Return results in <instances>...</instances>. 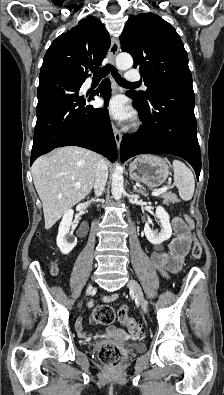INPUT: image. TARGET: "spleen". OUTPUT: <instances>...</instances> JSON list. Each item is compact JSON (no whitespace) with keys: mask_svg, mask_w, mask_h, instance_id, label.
Segmentation results:
<instances>
[{"mask_svg":"<svg viewBox=\"0 0 224 395\" xmlns=\"http://www.w3.org/2000/svg\"><path fill=\"white\" fill-rule=\"evenodd\" d=\"M174 184L179 191V196L184 201L193 197L195 180L192 171L181 161H173Z\"/></svg>","mask_w":224,"mask_h":395,"instance_id":"3e777b00","label":"spleen"}]
</instances>
